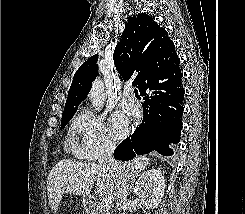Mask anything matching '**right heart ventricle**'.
<instances>
[{"instance_id": "right-heart-ventricle-1", "label": "right heart ventricle", "mask_w": 245, "mask_h": 214, "mask_svg": "<svg viewBox=\"0 0 245 214\" xmlns=\"http://www.w3.org/2000/svg\"><path fill=\"white\" fill-rule=\"evenodd\" d=\"M67 145L71 146L73 148V140L72 139H68L67 140Z\"/></svg>"}]
</instances>
